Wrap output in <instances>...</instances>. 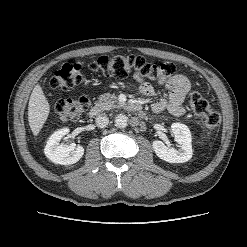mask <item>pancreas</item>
<instances>
[{"label":"pancreas","instance_id":"1","mask_svg":"<svg viewBox=\"0 0 247 247\" xmlns=\"http://www.w3.org/2000/svg\"><path fill=\"white\" fill-rule=\"evenodd\" d=\"M96 105L103 110H110L113 108H121L124 106V103L118 101V98L115 95H111L110 93H105L99 96Z\"/></svg>","mask_w":247,"mask_h":247}]
</instances>
